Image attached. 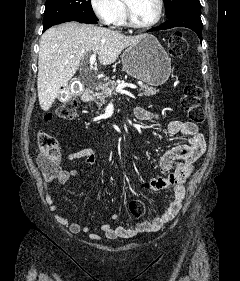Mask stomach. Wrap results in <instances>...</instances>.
<instances>
[{
  "label": "stomach",
  "mask_w": 240,
  "mask_h": 281,
  "mask_svg": "<svg viewBox=\"0 0 240 281\" xmlns=\"http://www.w3.org/2000/svg\"><path fill=\"white\" fill-rule=\"evenodd\" d=\"M124 70L153 86L162 85L171 74V60L153 35H145L122 54Z\"/></svg>",
  "instance_id": "1"
}]
</instances>
